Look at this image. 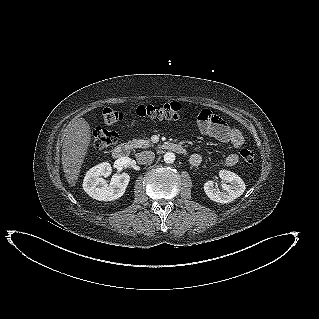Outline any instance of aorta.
I'll list each match as a JSON object with an SVG mask.
<instances>
[{
  "instance_id": "1",
  "label": "aorta",
  "mask_w": 319,
  "mask_h": 319,
  "mask_svg": "<svg viewBox=\"0 0 319 319\" xmlns=\"http://www.w3.org/2000/svg\"><path fill=\"white\" fill-rule=\"evenodd\" d=\"M175 161V154L173 152H166L164 154V162L167 164H172Z\"/></svg>"
}]
</instances>
